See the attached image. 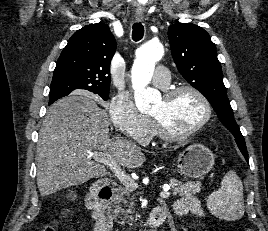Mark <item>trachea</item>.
Listing matches in <instances>:
<instances>
[{"label":"trachea","instance_id":"3493384b","mask_svg":"<svg viewBox=\"0 0 268 231\" xmlns=\"http://www.w3.org/2000/svg\"><path fill=\"white\" fill-rule=\"evenodd\" d=\"M144 26L138 22L133 24L132 39L134 41H139L143 38Z\"/></svg>","mask_w":268,"mask_h":231}]
</instances>
